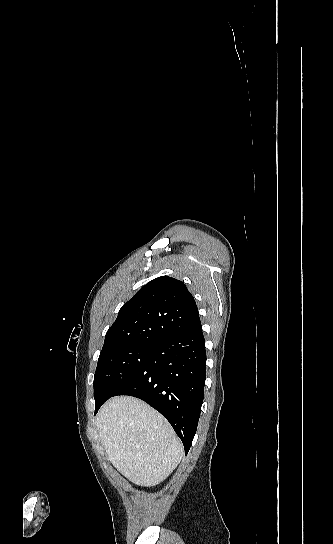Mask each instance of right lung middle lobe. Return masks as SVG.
Returning a JSON list of instances; mask_svg holds the SVG:
<instances>
[{
  "mask_svg": "<svg viewBox=\"0 0 333 544\" xmlns=\"http://www.w3.org/2000/svg\"><path fill=\"white\" fill-rule=\"evenodd\" d=\"M153 343L130 344L100 353L94 376L95 411L125 387L146 363Z\"/></svg>",
  "mask_w": 333,
  "mask_h": 544,
  "instance_id": "right-lung-middle-lobe-1",
  "label": "right lung middle lobe"
}]
</instances>
